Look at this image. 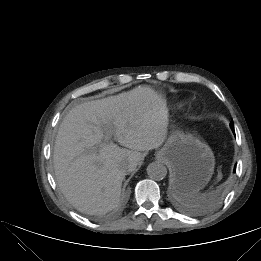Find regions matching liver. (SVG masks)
<instances>
[{"instance_id":"1","label":"liver","mask_w":261,"mask_h":261,"mask_svg":"<svg viewBox=\"0 0 261 261\" xmlns=\"http://www.w3.org/2000/svg\"><path fill=\"white\" fill-rule=\"evenodd\" d=\"M167 126L166 100L148 86L72 108L60 125L53 155L66 199L87 214L117 207L126 173L137 167L140 151L163 144ZM107 131L122 148L113 142L101 146Z\"/></svg>"}]
</instances>
